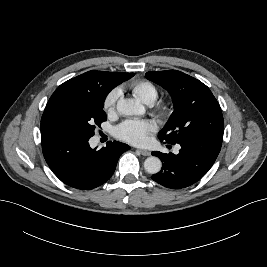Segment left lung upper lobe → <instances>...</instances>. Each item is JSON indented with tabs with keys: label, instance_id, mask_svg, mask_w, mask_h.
I'll return each instance as SVG.
<instances>
[{
	"label": "left lung upper lobe",
	"instance_id": "left-lung-upper-lobe-1",
	"mask_svg": "<svg viewBox=\"0 0 267 267\" xmlns=\"http://www.w3.org/2000/svg\"><path fill=\"white\" fill-rule=\"evenodd\" d=\"M145 76L173 100L174 111L158 134L160 141L174 145L198 137H223L220 105L205 84L177 70L150 71Z\"/></svg>",
	"mask_w": 267,
	"mask_h": 267
}]
</instances>
